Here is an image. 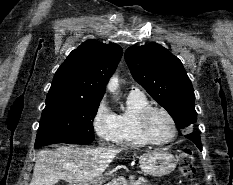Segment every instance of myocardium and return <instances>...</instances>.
I'll return each mask as SVG.
<instances>
[{"label": "myocardium", "mask_w": 233, "mask_h": 185, "mask_svg": "<svg viewBox=\"0 0 233 185\" xmlns=\"http://www.w3.org/2000/svg\"><path fill=\"white\" fill-rule=\"evenodd\" d=\"M154 111H160V112L164 113L169 118V120L171 122L172 133L167 139L156 140L149 133L148 119H149L151 113H153ZM138 128H139L140 134L143 137V139L147 143L153 144V145L167 144V143L171 142L177 134V125H176V121H175L173 115L167 109L160 107V106L150 105V106L146 107L138 116Z\"/></svg>", "instance_id": "f54148a6"}]
</instances>
